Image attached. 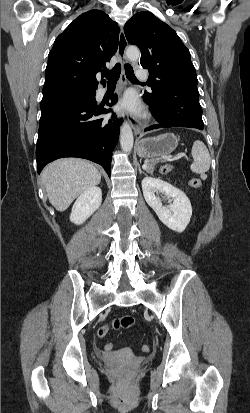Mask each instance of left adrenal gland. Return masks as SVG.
Returning <instances> with one entry per match:
<instances>
[{
  "label": "left adrenal gland",
  "mask_w": 250,
  "mask_h": 413,
  "mask_svg": "<svg viewBox=\"0 0 250 413\" xmlns=\"http://www.w3.org/2000/svg\"><path fill=\"white\" fill-rule=\"evenodd\" d=\"M139 172H140V174H141V173L145 174V173L141 170L140 166H139Z\"/></svg>",
  "instance_id": "left-adrenal-gland-1"
}]
</instances>
